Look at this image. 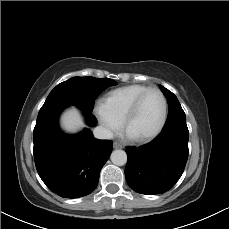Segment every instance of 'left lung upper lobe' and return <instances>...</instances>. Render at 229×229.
<instances>
[{"label":"left lung upper lobe","mask_w":229,"mask_h":229,"mask_svg":"<svg viewBox=\"0 0 229 229\" xmlns=\"http://www.w3.org/2000/svg\"><path fill=\"white\" fill-rule=\"evenodd\" d=\"M159 87L163 92V94L165 95V97L167 98L168 108H169L168 117L164 125V129L178 123H186L185 113L177 97L162 85H159Z\"/></svg>","instance_id":"5c2ea615"}]
</instances>
